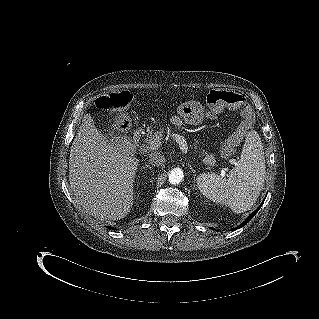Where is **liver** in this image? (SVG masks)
<instances>
[{
    "instance_id": "1",
    "label": "liver",
    "mask_w": 319,
    "mask_h": 319,
    "mask_svg": "<svg viewBox=\"0 0 319 319\" xmlns=\"http://www.w3.org/2000/svg\"><path fill=\"white\" fill-rule=\"evenodd\" d=\"M138 164L84 116L70 150L69 181L86 212L103 220L124 218L133 205Z\"/></svg>"
}]
</instances>
